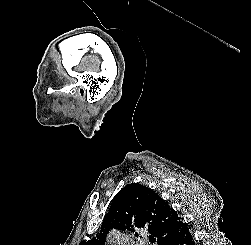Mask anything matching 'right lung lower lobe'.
<instances>
[{"mask_svg":"<svg viewBox=\"0 0 251 245\" xmlns=\"http://www.w3.org/2000/svg\"><path fill=\"white\" fill-rule=\"evenodd\" d=\"M164 245H195V243L188 228H185L176 237L165 242Z\"/></svg>","mask_w":251,"mask_h":245,"instance_id":"1","label":"right lung lower lobe"}]
</instances>
